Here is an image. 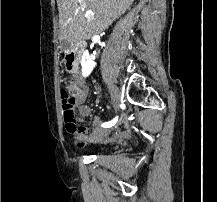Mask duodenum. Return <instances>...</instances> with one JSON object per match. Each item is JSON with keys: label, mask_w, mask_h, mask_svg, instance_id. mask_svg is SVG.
<instances>
[{"label": "duodenum", "mask_w": 217, "mask_h": 202, "mask_svg": "<svg viewBox=\"0 0 217 202\" xmlns=\"http://www.w3.org/2000/svg\"><path fill=\"white\" fill-rule=\"evenodd\" d=\"M81 51H82V46L78 45L75 47V49L72 52L66 55L65 62L69 70L73 72H77L78 60H79Z\"/></svg>", "instance_id": "1"}]
</instances>
